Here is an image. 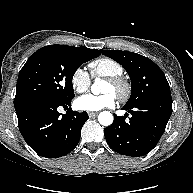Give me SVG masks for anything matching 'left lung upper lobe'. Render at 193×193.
Instances as JSON below:
<instances>
[{
    "label": "left lung upper lobe",
    "mask_w": 193,
    "mask_h": 193,
    "mask_svg": "<svg viewBox=\"0 0 193 193\" xmlns=\"http://www.w3.org/2000/svg\"><path fill=\"white\" fill-rule=\"evenodd\" d=\"M100 51L121 64L130 76L132 93L126 107H134L161 90L170 88L163 71L149 58L128 51Z\"/></svg>",
    "instance_id": "1"
}]
</instances>
